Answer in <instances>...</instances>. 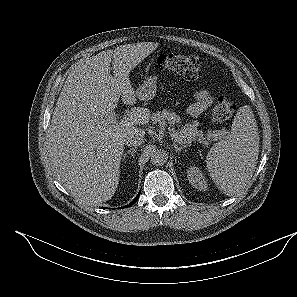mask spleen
I'll list each match as a JSON object with an SVG mask.
<instances>
[{
  "label": "spleen",
  "mask_w": 297,
  "mask_h": 297,
  "mask_svg": "<svg viewBox=\"0 0 297 297\" xmlns=\"http://www.w3.org/2000/svg\"><path fill=\"white\" fill-rule=\"evenodd\" d=\"M259 139L253 111L240 107L231 132L213 145L206 158L210 177L225 195H236L249 183L258 160Z\"/></svg>",
  "instance_id": "1"
}]
</instances>
